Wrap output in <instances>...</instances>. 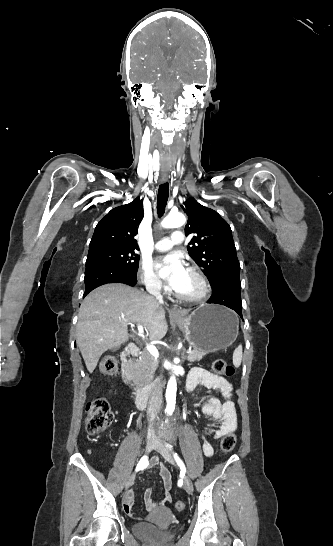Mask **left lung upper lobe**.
<instances>
[{"instance_id":"obj_1","label":"left lung upper lobe","mask_w":333,"mask_h":546,"mask_svg":"<svg viewBox=\"0 0 333 546\" xmlns=\"http://www.w3.org/2000/svg\"><path fill=\"white\" fill-rule=\"evenodd\" d=\"M181 206L188 216L186 235L197 234L188 246L190 257L203 269L210 285L223 279L239 277L240 264L236 255L232 231L214 210L189 198Z\"/></svg>"}]
</instances>
